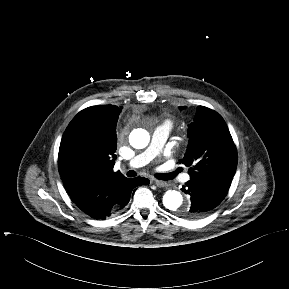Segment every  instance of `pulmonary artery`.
I'll return each mask as SVG.
<instances>
[{"label":"pulmonary artery","mask_w":289,"mask_h":289,"mask_svg":"<svg viewBox=\"0 0 289 289\" xmlns=\"http://www.w3.org/2000/svg\"><path fill=\"white\" fill-rule=\"evenodd\" d=\"M170 130L171 124L169 122H164L157 126L152 134L149 146L131 159L128 165L132 168L142 167L158 156L162 151ZM189 178L190 177L187 174L182 177L184 181L189 180Z\"/></svg>","instance_id":"1"}]
</instances>
